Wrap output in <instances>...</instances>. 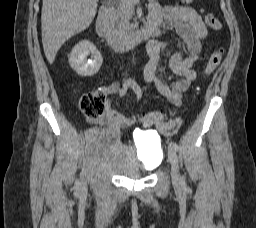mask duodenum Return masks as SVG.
I'll return each mask as SVG.
<instances>
[{
  "instance_id": "obj_1",
  "label": "duodenum",
  "mask_w": 256,
  "mask_h": 228,
  "mask_svg": "<svg viewBox=\"0 0 256 228\" xmlns=\"http://www.w3.org/2000/svg\"><path fill=\"white\" fill-rule=\"evenodd\" d=\"M96 31L116 51L128 50L155 34V30L150 25L125 33H114L110 27V2L106 3L99 13Z\"/></svg>"
}]
</instances>
